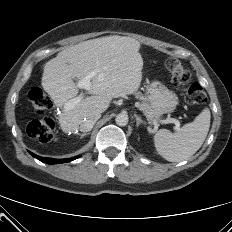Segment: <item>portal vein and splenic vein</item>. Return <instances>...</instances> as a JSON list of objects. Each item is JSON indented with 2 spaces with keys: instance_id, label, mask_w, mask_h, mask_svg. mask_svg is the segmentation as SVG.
Masks as SVG:
<instances>
[{
  "instance_id": "1",
  "label": "portal vein and splenic vein",
  "mask_w": 232,
  "mask_h": 232,
  "mask_svg": "<svg viewBox=\"0 0 232 232\" xmlns=\"http://www.w3.org/2000/svg\"><path fill=\"white\" fill-rule=\"evenodd\" d=\"M97 73L94 71L92 73H90L89 75L85 76L84 78L80 79L76 85L78 88L81 89H85L88 90L90 88L91 85V78L94 77ZM84 98L83 94H80L79 96L69 100L66 104H65V109L69 110L74 108L82 99ZM155 123H157V121H154ZM160 123L163 124H168V123H173L175 124L174 130L175 131H179L180 130V121L174 118H167V119H163L159 121Z\"/></svg>"
}]
</instances>
